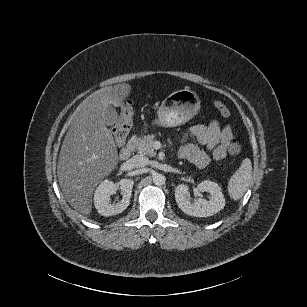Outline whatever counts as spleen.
Here are the masks:
<instances>
[{"instance_id": "1", "label": "spleen", "mask_w": 307, "mask_h": 307, "mask_svg": "<svg viewBox=\"0 0 307 307\" xmlns=\"http://www.w3.org/2000/svg\"><path fill=\"white\" fill-rule=\"evenodd\" d=\"M252 185V163L249 158H245L239 169L231 176L228 182V192L232 199H240Z\"/></svg>"}]
</instances>
